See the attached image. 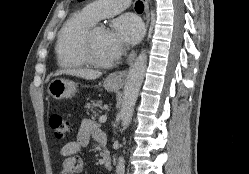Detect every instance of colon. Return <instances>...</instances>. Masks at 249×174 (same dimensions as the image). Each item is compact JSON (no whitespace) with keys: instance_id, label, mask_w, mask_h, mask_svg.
<instances>
[{"instance_id":"obj_1","label":"colon","mask_w":249,"mask_h":174,"mask_svg":"<svg viewBox=\"0 0 249 174\" xmlns=\"http://www.w3.org/2000/svg\"><path fill=\"white\" fill-rule=\"evenodd\" d=\"M49 124L59 140H64L72 132L71 122L61 114H52Z\"/></svg>"}]
</instances>
